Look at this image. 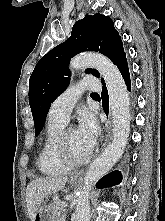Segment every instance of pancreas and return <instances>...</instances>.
I'll return each instance as SVG.
<instances>
[{"mask_svg": "<svg viewBox=\"0 0 165 221\" xmlns=\"http://www.w3.org/2000/svg\"><path fill=\"white\" fill-rule=\"evenodd\" d=\"M52 208L54 214L57 216V221H64L66 215V208L62 206V202H54Z\"/></svg>", "mask_w": 165, "mask_h": 221, "instance_id": "obj_1", "label": "pancreas"}]
</instances>
